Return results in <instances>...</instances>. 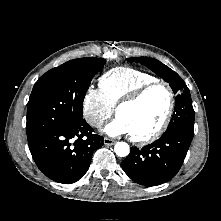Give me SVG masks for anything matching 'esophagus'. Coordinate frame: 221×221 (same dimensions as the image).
I'll list each match as a JSON object with an SVG mask.
<instances>
[{
    "instance_id": "esophagus-1",
    "label": "esophagus",
    "mask_w": 221,
    "mask_h": 221,
    "mask_svg": "<svg viewBox=\"0 0 221 221\" xmlns=\"http://www.w3.org/2000/svg\"><path fill=\"white\" fill-rule=\"evenodd\" d=\"M103 143L105 145L111 146V145L115 144V141L113 139L105 137L104 140H103Z\"/></svg>"
}]
</instances>
